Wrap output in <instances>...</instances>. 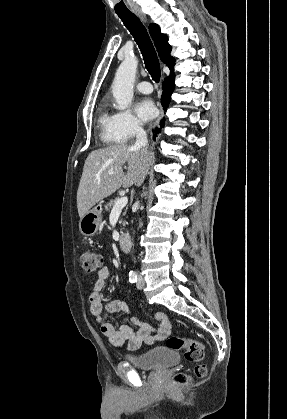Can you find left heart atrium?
I'll use <instances>...</instances> for the list:
<instances>
[{
  "instance_id": "1",
  "label": "left heart atrium",
  "mask_w": 287,
  "mask_h": 419,
  "mask_svg": "<svg viewBox=\"0 0 287 419\" xmlns=\"http://www.w3.org/2000/svg\"><path fill=\"white\" fill-rule=\"evenodd\" d=\"M135 112L142 121H148L155 116L156 108L150 99L144 98L136 103Z\"/></svg>"
}]
</instances>
